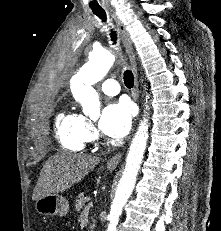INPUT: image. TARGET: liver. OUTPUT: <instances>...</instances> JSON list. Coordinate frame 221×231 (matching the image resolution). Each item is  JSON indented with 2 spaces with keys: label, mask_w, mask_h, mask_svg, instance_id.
Returning <instances> with one entry per match:
<instances>
[{
  "label": "liver",
  "mask_w": 221,
  "mask_h": 231,
  "mask_svg": "<svg viewBox=\"0 0 221 231\" xmlns=\"http://www.w3.org/2000/svg\"><path fill=\"white\" fill-rule=\"evenodd\" d=\"M100 162V158L92 155H83L61 151L50 157L43 166L32 200L50 194H58L70 189L80 182Z\"/></svg>",
  "instance_id": "6515ba94"
}]
</instances>
